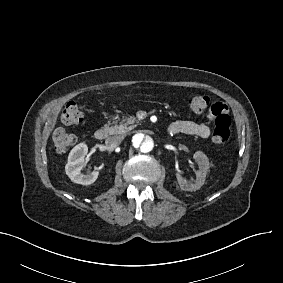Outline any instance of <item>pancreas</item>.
<instances>
[{
	"mask_svg": "<svg viewBox=\"0 0 283 283\" xmlns=\"http://www.w3.org/2000/svg\"><path fill=\"white\" fill-rule=\"evenodd\" d=\"M140 122L136 119L135 116H129L127 122H120L115 126L106 125L105 127L108 129L109 134L113 135H124L129 132L133 128H135Z\"/></svg>",
	"mask_w": 283,
	"mask_h": 283,
	"instance_id": "pancreas-1",
	"label": "pancreas"
}]
</instances>
